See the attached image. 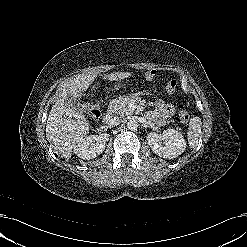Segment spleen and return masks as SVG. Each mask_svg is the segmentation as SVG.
I'll return each mask as SVG.
<instances>
[{"label":"spleen","mask_w":247,"mask_h":247,"mask_svg":"<svg viewBox=\"0 0 247 247\" xmlns=\"http://www.w3.org/2000/svg\"><path fill=\"white\" fill-rule=\"evenodd\" d=\"M201 126L202 121L200 117H193L189 122V128L187 130V139L191 148H195L198 143L199 136L201 133Z\"/></svg>","instance_id":"3e777b00"}]
</instances>
